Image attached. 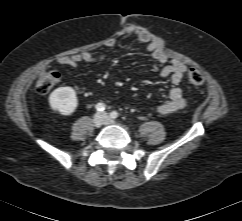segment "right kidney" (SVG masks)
<instances>
[{"label": "right kidney", "instance_id": "ca27d5eb", "mask_svg": "<svg viewBox=\"0 0 242 221\" xmlns=\"http://www.w3.org/2000/svg\"><path fill=\"white\" fill-rule=\"evenodd\" d=\"M49 104L54 111L65 116L71 115L78 106L76 92L72 87H59L50 94Z\"/></svg>", "mask_w": 242, "mask_h": 221}]
</instances>
